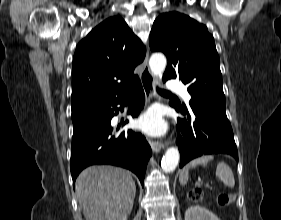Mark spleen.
Returning <instances> with one entry per match:
<instances>
[{
	"mask_svg": "<svg viewBox=\"0 0 281 220\" xmlns=\"http://www.w3.org/2000/svg\"><path fill=\"white\" fill-rule=\"evenodd\" d=\"M212 155H203L199 158L193 159L187 163L180 171L179 182L185 185L188 181L189 170L195 168L197 165L206 166L208 162L213 160ZM216 176L227 186L234 187L235 179L231 168L223 161L219 162L216 168Z\"/></svg>",
	"mask_w": 281,
	"mask_h": 220,
	"instance_id": "1",
	"label": "spleen"
}]
</instances>
